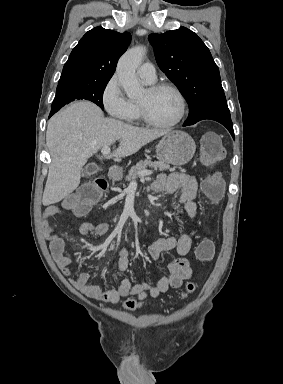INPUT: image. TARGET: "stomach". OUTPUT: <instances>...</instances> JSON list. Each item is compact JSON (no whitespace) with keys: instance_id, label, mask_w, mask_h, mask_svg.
I'll return each instance as SVG.
<instances>
[{"instance_id":"1","label":"stomach","mask_w":283,"mask_h":384,"mask_svg":"<svg viewBox=\"0 0 283 384\" xmlns=\"http://www.w3.org/2000/svg\"><path fill=\"white\" fill-rule=\"evenodd\" d=\"M196 146L193 138L186 132H169L165 134L156 146V154L159 160L172 164V166H184L192 160Z\"/></svg>"}]
</instances>
